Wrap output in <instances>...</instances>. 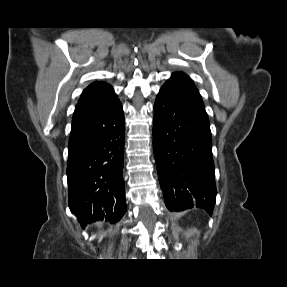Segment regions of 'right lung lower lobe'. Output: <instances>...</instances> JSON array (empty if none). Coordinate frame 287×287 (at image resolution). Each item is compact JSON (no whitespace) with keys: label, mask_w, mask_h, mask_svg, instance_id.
Instances as JSON below:
<instances>
[{"label":"right lung lower lobe","mask_w":287,"mask_h":287,"mask_svg":"<svg viewBox=\"0 0 287 287\" xmlns=\"http://www.w3.org/2000/svg\"><path fill=\"white\" fill-rule=\"evenodd\" d=\"M124 133L119 100L73 117L67 164L69 207L84 226L103 218L115 223L126 211Z\"/></svg>","instance_id":"right-lung-lower-lobe-1"}]
</instances>
